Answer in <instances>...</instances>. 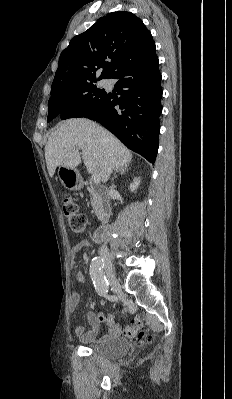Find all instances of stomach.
I'll use <instances>...</instances> for the list:
<instances>
[{"instance_id":"0dacf381","label":"stomach","mask_w":232,"mask_h":399,"mask_svg":"<svg viewBox=\"0 0 232 399\" xmlns=\"http://www.w3.org/2000/svg\"><path fill=\"white\" fill-rule=\"evenodd\" d=\"M58 178L61 180L64 188L67 190H80L82 188V180L78 170L75 168H65V166H59Z\"/></svg>"}]
</instances>
